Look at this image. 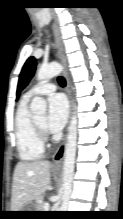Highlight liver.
<instances>
[{"label":"liver","mask_w":123,"mask_h":219,"mask_svg":"<svg viewBox=\"0 0 123 219\" xmlns=\"http://www.w3.org/2000/svg\"><path fill=\"white\" fill-rule=\"evenodd\" d=\"M51 163L46 160L18 162L12 184L11 211H21L38 199L51 184Z\"/></svg>","instance_id":"1"}]
</instances>
